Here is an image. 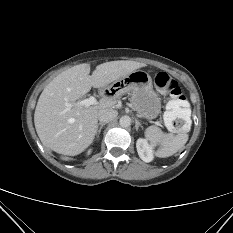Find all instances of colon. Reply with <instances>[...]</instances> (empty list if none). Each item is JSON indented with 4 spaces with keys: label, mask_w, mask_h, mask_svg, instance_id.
<instances>
[{
    "label": "colon",
    "mask_w": 233,
    "mask_h": 233,
    "mask_svg": "<svg viewBox=\"0 0 233 233\" xmlns=\"http://www.w3.org/2000/svg\"><path fill=\"white\" fill-rule=\"evenodd\" d=\"M154 83L159 92L172 96L166 104L164 115L166 125L173 132L185 131L191 122V108L177 81L168 74L160 72L155 76Z\"/></svg>",
    "instance_id": "colon-1"
}]
</instances>
